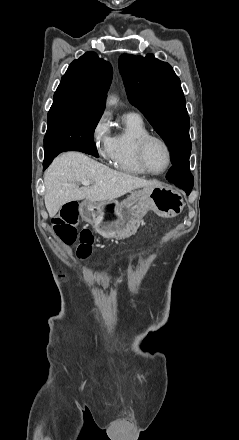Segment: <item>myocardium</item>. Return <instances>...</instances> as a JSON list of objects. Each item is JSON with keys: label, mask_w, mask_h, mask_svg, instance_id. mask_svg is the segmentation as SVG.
Wrapping results in <instances>:
<instances>
[{"label": "myocardium", "mask_w": 239, "mask_h": 440, "mask_svg": "<svg viewBox=\"0 0 239 440\" xmlns=\"http://www.w3.org/2000/svg\"><path fill=\"white\" fill-rule=\"evenodd\" d=\"M152 141L161 142L167 151L168 164H167V167L161 172L152 171L148 165V162H147L146 151H147V147H148L149 143ZM136 153H137V158H138L140 166L149 175L162 176V175L166 174L171 169V166L173 163L172 149H171L169 142L164 137H162L160 135L148 133V134L140 137L137 141Z\"/></svg>", "instance_id": "obj_1"}]
</instances>
